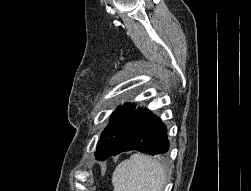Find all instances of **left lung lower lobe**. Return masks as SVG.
Here are the masks:
<instances>
[{
    "instance_id": "0a47b994",
    "label": "left lung lower lobe",
    "mask_w": 251,
    "mask_h": 191,
    "mask_svg": "<svg viewBox=\"0 0 251 191\" xmlns=\"http://www.w3.org/2000/svg\"><path fill=\"white\" fill-rule=\"evenodd\" d=\"M166 126L160 118L146 108L134 109L122 131L118 134L110 156L137 150L142 153L164 154L169 149Z\"/></svg>"
}]
</instances>
